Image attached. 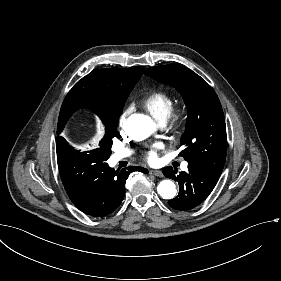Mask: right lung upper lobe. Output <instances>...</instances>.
Returning <instances> with one entry per match:
<instances>
[{
    "label": "right lung upper lobe",
    "instance_id": "right-lung-upper-lobe-1",
    "mask_svg": "<svg viewBox=\"0 0 281 281\" xmlns=\"http://www.w3.org/2000/svg\"><path fill=\"white\" fill-rule=\"evenodd\" d=\"M144 67L94 70L69 91L58 120L59 135L71 114L79 108H88L98 116L102 113L121 114L129 93L142 75Z\"/></svg>",
    "mask_w": 281,
    "mask_h": 281
}]
</instances>
